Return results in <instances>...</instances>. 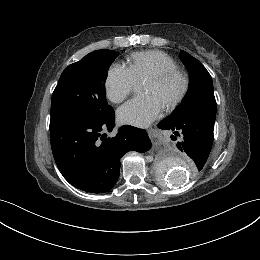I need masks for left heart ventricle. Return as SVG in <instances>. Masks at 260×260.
<instances>
[{
	"instance_id": "1",
	"label": "left heart ventricle",
	"mask_w": 260,
	"mask_h": 260,
	"mask_svg": "<svg viewBox=\"0 0 260 260\" xmlns=\"http://www.w3.org/2000/svg\"><path fill=\"white\" fill-rule=\"evenodd\" d=\"M181 86V78L177 76L162 84H154L147 81L144 86V93L156 96L165 105L179 92Z\"/></svg>"
}]
</instances>
